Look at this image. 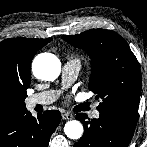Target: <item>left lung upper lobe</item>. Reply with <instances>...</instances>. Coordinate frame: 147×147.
I'll use <instances>...</instances> for the list:
<instances>
[{"label":"left lung upper lobe","mask_w":147,"mask_h":147,"mask_svg":"<svg viewBox=\"0 0 147 147\" xmlns=\"http://www.w3.org/2000/svg\"><path fill=\"white\" fill-rule=\"evenodd\" d=\"M91 58L89 89L101 98L100 114L117 118L135 128L141 94L139 63L127 42L116 32L91 29L62 37Z\"/></svg>","instance_id":"obj_1"}]
</instances>
